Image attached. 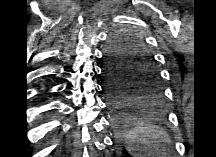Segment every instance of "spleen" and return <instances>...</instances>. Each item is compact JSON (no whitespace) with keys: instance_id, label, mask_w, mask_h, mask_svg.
<instances>
[{"instance_id":"3e777b00","label":"spleen","mask_w":216,"mask_h":157,"mask_svg":"<svg viewBox=\"0 0 216 157\" xmlns=\"http://www.w3.org/2000/svg\"><path fill=\"white\" fill-rule=\"evenodd\" d=\"M123 138L132 157L163 155L164 149L172 147V141L163 128L143 120H137Z\"/></svg>"}]
</instances>
